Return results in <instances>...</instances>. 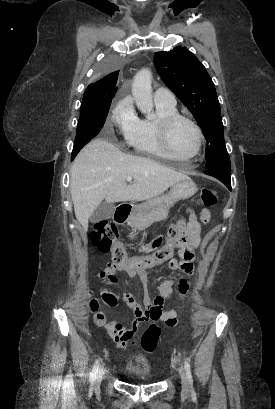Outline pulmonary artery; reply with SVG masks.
Wrapping results in <instances>:
<instances>
[{"instance_id":"1","label":"pulmonary artery","mask_w":275,"mask_h":409,"mask_svg":"<svg viewBox=\"0 0 275 409\" xmlns=\"http://www.w3.org/2000/svg\"><path fill=\"white\" fill-rule=\"evenodd\" d=\"M155 91L153 100L156 106L175 108L176 98L166 85H157Z\"/></svg>"}]
</instances>
